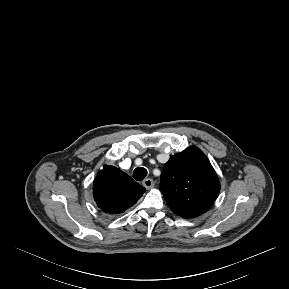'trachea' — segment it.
Here are the masks:
<instances>
[{
	"label": "trachea",
	"instance_id": "trachea-1",
	"mask_svg": "<svg viewBox=\"0 0 289 289\" xmlns=\"http://www.w3.org/2000/svg\"><path fill=\"white\" fill-rule=\"evenodd\" d=\"M147 175V170L143 167H138L133 172V178L137 181H142Z\"/></svg>",
	"mask_w": 289,
	"mask_h": 289
}]
</instances>
